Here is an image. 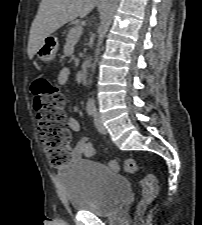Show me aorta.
Here are the masks:
<instances>
[{
  "mask_svg": "<svg viewBox=\"0 0 202 225\" xmlns=\"http://www.w3.org/2000/svg\"><path fill=\"white\" fill-rule=\"evenodd\" d=\"M119 0H106L104 10L101 15L100 26L98 28V40L94 53V62L91 64V71L94 72L96 68V62L100 54V47L111 25L114 13L118 7Z\"/></svg>",
  "mask_w": 202,
  "mask_h": 225,
  "instance_id": "aorta-1",
  "label": "aorta"
}]
</instances>
